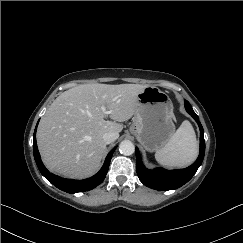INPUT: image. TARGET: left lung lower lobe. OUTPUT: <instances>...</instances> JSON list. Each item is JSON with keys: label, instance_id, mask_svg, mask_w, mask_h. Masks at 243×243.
I'll use <instances>...</instances> for the list:
<instances>
[{"label": "left lung lower lobe", "instance_id": "left-lung-lower-lobe-1", "mask_svg": "<svg viewBox=\"0 0 243 243\" xmlns=\"http://www.w3.org/2000/svg\"><path fill=\"white\" fill-rule=\"evenodd\" d=\"M185 108L187 112L195 119L200 128V154L197 160L191 166L185 169L166 170L163 168H157L155 170H149L143 165L139 150L136 148V168L138 177L144 185L152 189L166 191L181 187L193 177L203 161L205 154L203 127L198 116L195 114L191 105L187 101H185Z\"/></svg>", "mask_w": 243, "mask_h": 243}]
</instances>
